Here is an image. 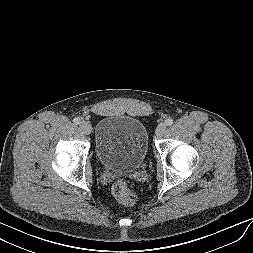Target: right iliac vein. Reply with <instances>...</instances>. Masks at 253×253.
Wrapping results in <instances>:
<instances>
[{"label": "right iliac vein", "instance_id": "obj_1", "mask_svg": "<svg viewBox=\"0 0 253 253\" xmlns=\"http://www.w3.org/2000/svg\"><path fill=\"white\" fill-rule=\"evenodd\" d=\"M79 126H80L81 131L84 134H90L91 133L92 127H91L89 122L82 121Z\"/></svg>", "mask_w": 253, "mask_h": 253}]
</instances>
